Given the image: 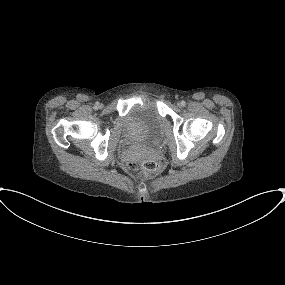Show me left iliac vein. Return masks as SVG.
<instances>
[{
    "label": "left iliac vein",
    "instance_id": "4c4485c4",
    "mask_svg": "<svg viewBox=\"0 0 285 285\" xmlns=\"http://www.w3.org/2000/svg\"><path fill=\"white\" fill-rule=\"evenodd\" d=\"M177 106H178V107H182L181 103H178Z\"/></svg>",
    "mask_w": 285,
    "mask_h": 285
}]
</instances>
